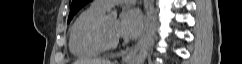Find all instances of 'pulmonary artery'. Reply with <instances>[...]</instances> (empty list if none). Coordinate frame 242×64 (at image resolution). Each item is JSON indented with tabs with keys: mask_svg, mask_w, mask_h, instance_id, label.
Here are the masks:
<instances>
[{
	"mask_svg": "<svg viewBox=\"0 0 242 64\" xmlns=\"http://www.w3.org/2000/svg\"><path fill=\"white\" fill-rule=\"evenodd\" d=\"M135 0H95L93 4L108 10L118 3H134Z\"/></svg>",
	"mask_w": 242,
	"mask_h": 64,
	"instance_id": "pulmonary-artery-1",
	"label": "pulmonary artery"
}]
</instances>
